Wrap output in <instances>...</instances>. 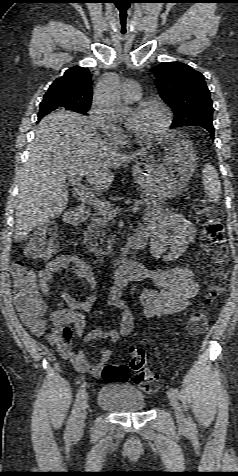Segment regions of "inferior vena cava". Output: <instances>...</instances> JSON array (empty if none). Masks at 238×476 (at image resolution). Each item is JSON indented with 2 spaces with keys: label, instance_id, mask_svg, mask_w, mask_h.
<instances>
[{
  "label": "inferior vena cava",
  "instance_id": "inferior-vena-cava-1",
  "mask_svg": "<svg viewBox=\"0 0 238 476\" xmlns=\"http://www.w3.org/2000/svg\"><path fill=\"white\" fill-rule=\"evenodd\" d=\"M112 145H113V144H110V147L113 148V149H115Z\"/></svg>",
  "mask_w": 238,
  "mask_h": 476
}]
</instances>
